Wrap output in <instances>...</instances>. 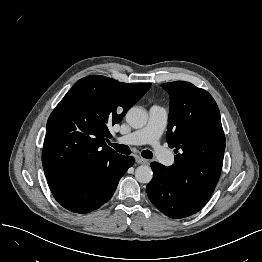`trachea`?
<instances>
[{
  "mask_svg": "<svg viewBox=\"0 0 262 262\" xmlns=\"http://www.w3.org/2000/svg\"><path fill=\"white\" fill-rule=\"evenodd\" d=\"M110 146L115 148L116 151L122 153V154H130L131 150L127 145L123 144H115V143H109ZM142 157L146 159H151L153 157V153L150 150H143L141 152Z\"/></svg>",
  "mask_w": 262,
  "mask_h": 262,
  "instance_id": "trachea-1",
  "label": "trachea"
}]
</instances>
